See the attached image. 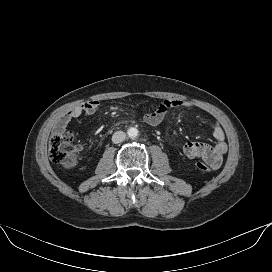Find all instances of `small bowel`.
<instances>
[{"mask_svg":"<svg viewBox=\"0 0 272 272\" xmlns=\"http://www.w3.org/2000/svg\"><path fill=\"white\" fill-rule=\"evenodd\" d=\"M99 108V102L91 100L79 106L74 107L63 114L54 125V132L62 133L65 131L68 123L82 116L93 115ZM172 108L192 109V105L183 100L169 99L151 107L145 113L141 120L149 125L155 126L162 122L168 110ZM211 132L216 140L215 145H209L201 142H188L183 147V152L189 159H202L212 169H218L223 162V156L228 150L225 142V133L218 122H212Z\"/></svg>","mask_w":272,"mask_h":272,"instance_id":"c3829d8e","label":"small bowel"}]
</instances>
